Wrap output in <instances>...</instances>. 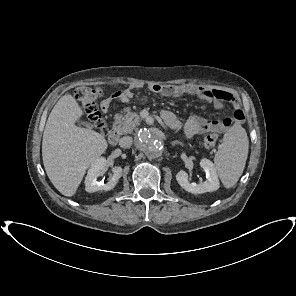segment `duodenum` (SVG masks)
Instances as JSON below:
<instances>
[{
	"label": "duodenum",
	"instance_id": "1",
	"mask_svg": "<svg viewBox=\"0 0 296 296\" xmlns=\"http://www.w3.org/2000/svg\"><path fill=\"white\" fill-rule=\"evenodd\" d=\"M120 139V131L117 126L113 125L108 133V140L110 144L116 145Z\"/></svg>",
	"mask_w": 296,
	"mask_h": 296
}]
</instances>
